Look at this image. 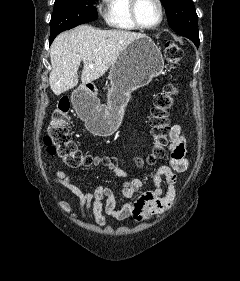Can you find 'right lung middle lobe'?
<instances>
[{"label": "right lung middle lobe", "instance_id": "right-lung-middle-lobe-1", "mask_svg": "<svg viewBox=\"0 0 240 281\" xmlns=\"http://www.w3.org/2000/svg\"><path fill=\"white\" fill-rule=\"evenodd\" d=\"M94 3L95 0H55L49 43L64 30L96 20L97 10Z\"/></svg>", "mask_w": 240, "mask_h": 281}]
</instances>
